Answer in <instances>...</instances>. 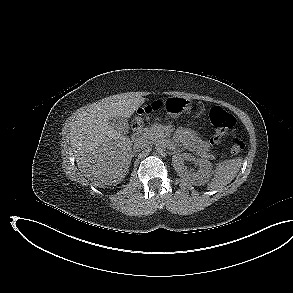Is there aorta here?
<instances>
[{"label": "aorta", "instance_id": "762f6f07", "mask_svg": "<svg viewBox=\"0 0 293 293\" xmlns=\"http://www.w3.org/2000/svg\"><path fill=\"white\" fill-rule=\"evenodd\" d=\"M155 149L157 150V152L161 153L163 151H165L166 149V144L163 141H159L155 144Z\"/></svg>", "mask_w": 293, "mask_h": 293}]
</instances>
